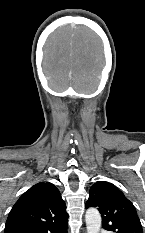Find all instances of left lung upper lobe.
<instances>
[{
    "label": "left lung upper lobe",
    "mask_w": 145,
    "mask_h": 233,
    "mask_svg": "<svg viewBox=\"0 0 145 233\" xmlns=\"http://www.w3.org/2000/svg\"><path fill=\"white\" fill-rule=\"evenodd\" d=\"M89 207H98L103 228L112 233H143L135 207L109 182L92 185L86 202V208Z\"/></svg>",
    "instance_id": "5c2ea615"
}]
</instances>
